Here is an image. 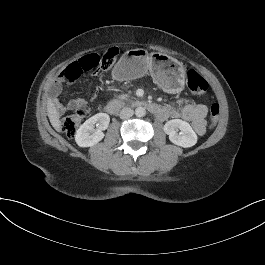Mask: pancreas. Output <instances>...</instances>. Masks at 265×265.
<instances>
[{
  "label": "pancreas",
  "instance_id": "pancreas-1",
  "mask_svg": "<svg viewBox=\"0 0 265 265\" xmlns=\"http://www.w3.org/2000/svg\"><path fill=\"white\" fill-rule=\"evenodd\" d=\"M128 97L129 96L127 94H123V95H120L118 98L121 99V100H127Z\"/></svg>",
  "mask_w": 265,
  "mask_h": 265
}]
</instances>
